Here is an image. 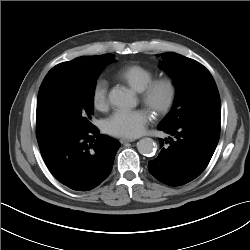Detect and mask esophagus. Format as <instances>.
Returning <instances> with one entry per match:
<instances>
[{
	"label": "esophagus",
	"instance_id": "1",
	"mask_svg": "<svg viewBox=\"0 0 250 250\" xmlns=\"http://www.w3.org/2000/svg\"><path fill=\"white\" fill-rule=\"evenodd\" d=\"M133 141H135V139H128V138H121L120 139L121 144L129 143V142H133Z\"/></svg>",
	"mask_w": 250,
	"mask_h": 250
}]
</instances>
